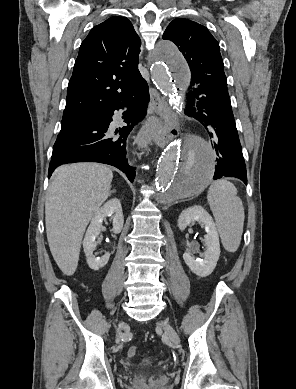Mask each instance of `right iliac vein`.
<instances>
[{"mask_svg":"<svg viewBox=\"0 0 296 389\" xmlns=\"http://www.w3.org/2000/svg\"><path fill=\"white\" fill-rule=\"evenodd\" d=\"M124 327H125V324L122 323V324L120 325V329H123Z\"/></svg>","mask_w":296,"mask_h":389,"instance_id":"right-iliac-vein-1","label":"right iliac vein"}]
</instances>
